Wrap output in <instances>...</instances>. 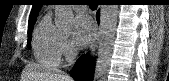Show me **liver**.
<instances>
[{
    "instance_id": "obj_1",
    "label": "liver",
    "mask_w": 169,
    "mask_h": 81,
    "mask_svg": "<svg viewBox=\"0 0 169 81\" xmlns=\"http://www.w3.org/2000/svg\"><path fill=\"white\" fill-rule=\"evenodd\" d=\"M27 80L24 81H71V78L61 71H40L33 65L26 66Z\"/></svg>"
}]
</instances>
